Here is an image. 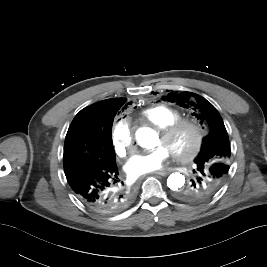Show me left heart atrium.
<instances>
[{
    "mask_svg": "<svg viewBox=\"0 0 267 267\" xmlns=\"http://www.w3.org/2000/svg\"><path fill=\"white\" fill-rule=\"evenodd\" d=\"M169 157V151L162 145L133 155L125 165L127 174L132 178L160 169Z\"/></svg>",
    "mask_w": 267,
    "mask_h": 267,
    "instance_id": "obj_1",
    "label": "left heart atrium"
}]
</instances>
